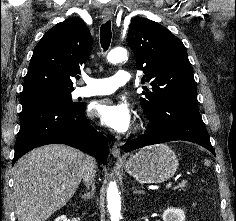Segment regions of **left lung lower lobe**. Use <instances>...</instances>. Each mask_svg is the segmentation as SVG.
<instances>
[{
  "label": "left lung lower lobe",
  "mask_w": 236,
  "mask_h": 221,
  "mask_svg": "<svg viewBox=\"0 0 236 221\" xmlns=\"http://www.w3.org/2000/svg\"><path fill=\"white\" fill-rule=\"evenodd\" d=\"M146 116L150 120L147 130L137 139L127 142L125 152L150 144L185 140L197 143L215 155L197 102L168 100Z\"/></svg>",
  "instance_id": "left-lung-lower-lobe-1"
}]
</instances>
